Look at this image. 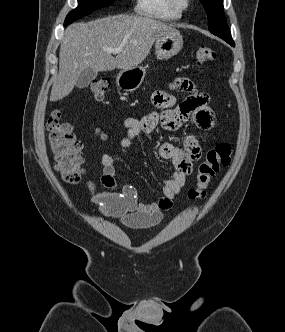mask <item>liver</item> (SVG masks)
<instances>
[{
	"label": "liver",
	"instance_id": "1",
	"mask_svg": "<svg viewBox=\"0 0 285 332\" xmlns=\"http://www.w3.org/2000/svg\"><path fill=\"white\" fill-rule=\"evenodd\" d=\"M172 29L158 20L125 14L68 26L60 45L59 73L50 101L68 96L85 69L99 72L137 67L148 56L154 42ZM118 47L123 50L116 57L104 50Z\"/></svg>",
	"mask_w": 285,
	"mask_h": 332
}]
</instances>
